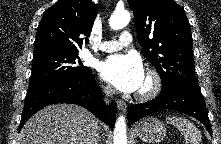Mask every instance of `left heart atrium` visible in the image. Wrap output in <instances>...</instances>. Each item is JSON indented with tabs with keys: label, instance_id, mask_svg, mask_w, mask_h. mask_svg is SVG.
I'll use <instances>...</instances> for the list:
<instances>
[{
	"label": "left heart atrium",
	"instance_id": "left-heart-atrium-1",
	"mask_svg": "<svg viewBox=\"0 0 221 144\" xmlns=\"http://www.w3.org/2000/svg\"><path fill=\"white\" fill-rule=\"evenodd\" d=\"M104 80L123 92L140 90L144 79V69L140 59L132 54L111 55L100 66Z\"/></svg>",
	"mask_w": 221,
	"mask_h": 144
}]
</instances>
